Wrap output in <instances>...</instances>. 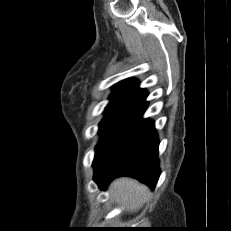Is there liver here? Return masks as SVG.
Wrapping results in <instances>:
<instances>
[{"mask_svg":"<svg viewBox=\"0 0 231 231\" xmlns=\"http://www.w3.org/2000/svg\"><path fill=\"white\" fill-rule=\"evenodd\" d=\"M111 196L120 204H127L131 211L142 206L149 195L147 186L131 178H119L110 185Z\"/></svg>","mask_w":231,"mask_h":231,"instance_id":"obj_1","label":"liver"}]
</instances>
